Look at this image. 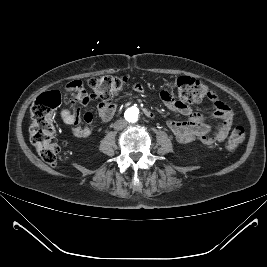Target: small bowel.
<instances>
[{
	"label": "small bowel",
	"mask_w": 267,
	"mask_h": 267,
	"mask_svg": "<svg viewBox=\"0 0 267 267\" xmlns=\"http://www.w3.org/2000/svg\"><path fill=\"white\" fill-rule=\"evenodd\" d=\"M133 88L137 92H142L143 87L139 83H135ZM66 92L71 94L76 104L85 106L90 98L81 81L74 80L66 84ZM161 97L168 109L176 116V118L168 121L167 125L174 134L179 143H190L199 140L204 145H214L223 141L234 121V113L232 109L220 101L217 97L212 100L215 111L212 117L220 120L219 124L213 129L204 122L201 114L193 112L192 109L184 102L176 100L170 86H166L161 90ZM115 105L112 103H101L98 106V114L102 121L110 120L114 114ZM62 121L70 126L71 133L77 138H86L92 133L93 115L87 111L84 114V120L87 126H79L80 110L77 108L73 111L70 108H62L60 111ZM183 116L185 119H180Z\"/></svg>",
	"instance_id": "obj_1"
}]
</instances>
